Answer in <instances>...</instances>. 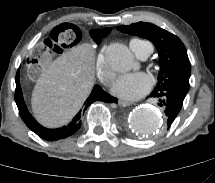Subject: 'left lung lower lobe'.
I'll return each instance as SVG.
<instances>
[{
	"label": "left lung lower lobe",
	"mask_w": 215,
	"mask_h": 183,
	"mask_svg": "<svg viewBox=\"0 0 215 183\" xmlns=\"http://www.w3.org/2000/svg\"><path fill=\"white\" fill-rule=\"evenodd\" d=\"M186 94L185 90L175 85L154 89L150 94V97L156 98L159 101L158 105L163 107L167 116L168 128L180 112Z\"/></svg>",
	"instance_id": "1"
}]
</instances>
